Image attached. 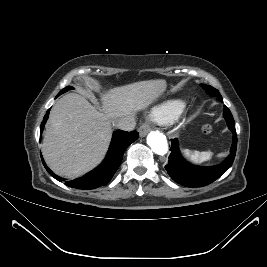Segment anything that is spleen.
Segmentation results:
<instances>
[{
  "label": "spleen",
  "mask_w": 267,
  "mask_h": 267,
  "mask_svg": "<svg viewBox=\"0 0 267 267\" xmlns=\"http://www.w3.org/2000/svg\"><path fill=\"white\" fill-rule=\"evenodd\" d=\"M184 156L188 158L190 161L193 163L201 164L205 161H208L211 159L213 153L208 151V152H199V151H191L189 149H183L182 150Z\"/></svg>",
  "instance_id": "3e777b00"
}]
</instances>
